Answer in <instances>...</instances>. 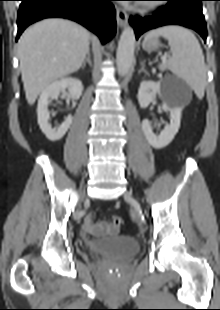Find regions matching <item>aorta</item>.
<instances>
[{
  "label": "aorta",
  "mask_w": 220,
  "mask_h": 310,
  "mask_svg": "<svg viewBox=\"0 0 220 310\" xmlns=\"http://www.w3.org/2000/svg\"><path fill=\"white\" fill-rule=\"evenodd\" d=\"M135 34L133 29L126 27L118 43L117 49V70L120 76L128 73L134 60Z\"/></svg>",
  "instance_id": "762f6f07"
}]
</instances>
